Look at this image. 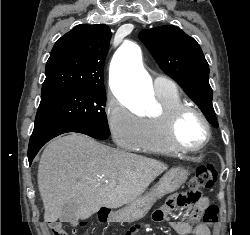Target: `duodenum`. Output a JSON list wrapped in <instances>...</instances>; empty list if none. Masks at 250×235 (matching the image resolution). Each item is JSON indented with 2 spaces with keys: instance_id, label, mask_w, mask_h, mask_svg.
Instances as JSON below:
<instances>
[{
  "instance_id": "obj_1",
  "label": "duodenum",
  "mask_w": 250,
  "mask_h": 235,
  "mask_svg": "<svg viewBox=\"0 0 250 235\" xmlns=\"http://www.w3.org/2000/svg\"><path fill=\"white\" fill-rule=\"evenodd\" d=\"M106 220H107V212H103L101 222H106Z\"/></svg>"
}]
</instances>
